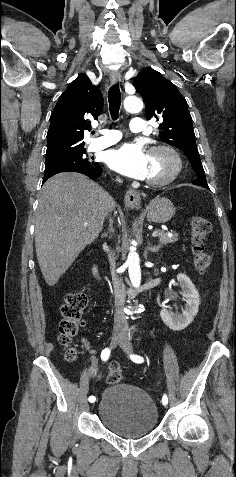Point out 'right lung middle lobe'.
<instances>
[{
  "instance_id": "obj_1",
  "label": "right lung middle lobe",
  "mask_w": 236,
  "mask_h": 477,
  "mask_svg": "<svg viewBox=\"0 0 236 477\" xmlns=\"http://www.w3.org/2000/svg\"><path fill=\"white\" fill-rule=\"evenodd\" d=\"M86 149L73 154L71 156L64 157L62 159L45 163V175L56 174L60 172H67L74 169L92 170L98 166L97 162L92 161L85 156Z\"/></svg>"
}]
</instances>
